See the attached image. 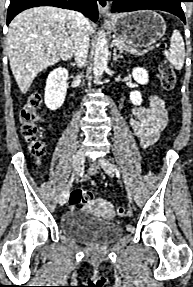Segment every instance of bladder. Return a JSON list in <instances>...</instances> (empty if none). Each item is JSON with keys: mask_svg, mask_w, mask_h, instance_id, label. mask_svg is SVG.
Here are the masks:
<instances>
[{"mask_svg": "<svg viewBox=\"0 0 193 287\" xmlns=\"http://www.w3.org/2000/svg\"><path fill=\"white\" fill-rule=\"evenodd\" d=\"M60 230L78 242L93 246L110 243L123 232L122 227L114 221L92 217L87 211L78 209H70L63 214Z\"/></svg>", "mask_w": 193, "mask_h": 287, "instance_id": "1", "label": "bladder"}]
</instances>
